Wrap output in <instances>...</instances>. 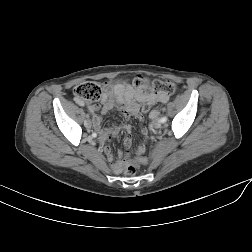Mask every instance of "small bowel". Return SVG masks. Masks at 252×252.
I'll use <instances>...</instances> for the list:
<instances>
[{"mask_svg": "<svg viewBox=\"0 0 252 252\" xmlns=\"http://www.w3.org/2000/svg\"><path fill=\"white\" fill-rule=\"evenodd\" d=\"M170 100V95L166 93L155 94L148 91H143L135 88L129 81L125 80L116 84L111 82L104 83V94L101 99V107L98 105H92L90 110L96 111L101 108L103 114H106L112 110H118L122 112L125 118L130 116H140L141 109L145 111V108L149 106L150 108L156 102H168ZM76 102L80 105H83V101L76 99ZM140 120L143 121V118L140 116ZM101 117L94 116L93 118V127L99 134L100 142H104L108 139V135L115 136L119 127L114 125L109 129H103L101 127ZM127 132H131L130 126L125 127ZM141 134L144 138L147 137L148 131L146 128L141 129ZM131 145L130 137H127L125 140V146L129 147ZM139 154H142L145 151L144 143L140 144L137 149ZM104 153L107 158L112 161L111 167L114 173L119 174L123 171L124 167L128 162V156H123L122 154L116 160H113L111 148L109 146L104 147ZM140 162L145 163L144 158L138 159Z\"/></svg>", "mask_w": 252, "mask_h": 252, "instance_id": "small-bowel-1", "label": "small bowel"}]
</instances>
